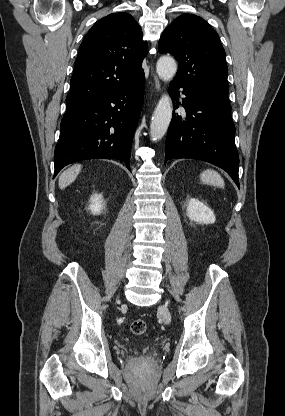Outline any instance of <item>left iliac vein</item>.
<instances>
[{
  "mask_svg": "<svg viewBox=\"0 0 285 416\" xmlns=\"http://www.w3.org/2000/svg\"><path fill=\"white\" fill-rule=\"evenodd\" d=\"M160 314L164 318L165 323L171 322V314L167 306H160Z\"/></svg>",
  "mask_w": 285,
  "mask_h": 416,
  "instance_id": "left-iliac-vein-1",
  "label": "left iliac vein"
}]
</instances>
